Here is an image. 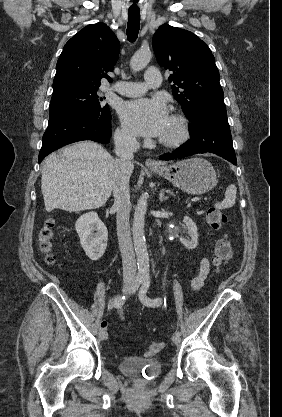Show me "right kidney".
<instances>
[{"instance_id":"right-kidney-1","label":"right kidney","mask_w":282,"mask_h":417,"mask_svg":"<svg viewBox=\"0 0 282 417\" xmlns=\"http://www.w3.org/2000/svg\"><path fill=\"white\" fill-rule=\"evenodd\" d=\"M75 229L80 237L82 249L91 261H98L105 253L108 231L95 211L85 213L77 219ZM97 231V233H94Z\"/></svg>"}]
</instances>
